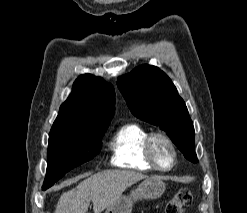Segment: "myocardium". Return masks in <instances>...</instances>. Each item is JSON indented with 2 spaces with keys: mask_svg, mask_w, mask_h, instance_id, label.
<instances>
[{
  "mask_svg": "<svg viewBox=\"0 0 247 213\" xmlns=\"http://www.w3.org/2000/svg\"><path fill=\"white\" fill-rule=\"evenodd\" d=\"M157 140H163L166 144H168V146L171 149L172 162H171L170 166H168V167L162 166L156 158V155L154 153V144ZM144 154H145L147 161L156 170H159L162 172L170 171L177 164L178 154H177L176 145L168 135H166L165 133H162V132H154V133L149 134V136L146 138L145 143H144Z\"/></svg>",
  "mask_w": 247,
  "mask_h": 213,
  "instance_id": "1",
  "label": "myocardium"
}]
</instances>
